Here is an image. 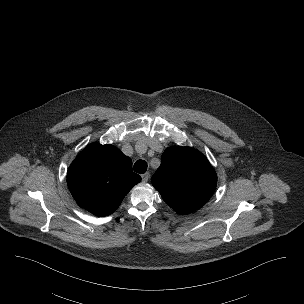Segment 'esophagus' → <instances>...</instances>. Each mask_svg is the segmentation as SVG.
Wrapping results in <instances>:
<instances>
[{"label": "esophagus", "instance_id": "obj_1", "mask_svg": "<svg viewBox=\"0 0 304 304\" xmlns=\"http://www.w3.org/2000/svg\"><path fill=\"white\" fill-rule=\"evenodd\" d=\"M141 177L143 182H147L149 180V173L142 174Z\"/></svg>", "mask_w": 304, "mask_h": 304}]
</instances>
